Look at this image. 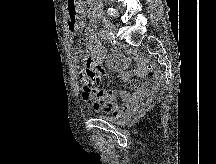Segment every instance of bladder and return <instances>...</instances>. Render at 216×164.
<instances>
[{
	"label": "bladder",
	"mask_w": 216,
	"mask_h": 164,
	"mask_svg": "<svg viewBox=\"0 0 216 164\" xmlns=\"http://www.w3.org/2000/svg\"><path fill=\"white\" fill-rule=\"evenodd\" d=\"M108 121H109L110 123H118V121L115 120V119H109Z\"/></svg>",
	"instance_id": "obj_1"
}]
</instances>
